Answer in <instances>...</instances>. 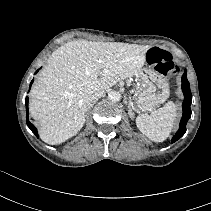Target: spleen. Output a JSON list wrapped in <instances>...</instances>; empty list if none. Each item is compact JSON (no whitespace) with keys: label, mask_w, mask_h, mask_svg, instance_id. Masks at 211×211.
<instances>
[{"label":"spleen","mask_w":211,"mask_h":211,"mask_svg":"<svg viewBox=\"0 0 211 211\" xmlns=\"http://www.w3.org/2000/svg\"><path fill=\"white\" fill-rule=\"evenodd\" d=\"M176 106L173 102L166 103L151 115L141 114L136 119L139 130L154 142L165 141L175 124Z\"/></svg>","instance_id":"obj_1"}]
</instances>
